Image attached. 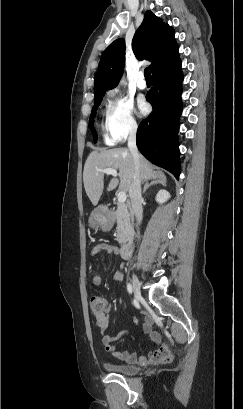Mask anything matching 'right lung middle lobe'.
I'll use <instances>...</instances> for the list:
<instances>
[{"label":"right lung middle lobe","mask_w":243,"mask_h":409,"mask_svg":"<svg viewBox=\"0 0 243 409\" xmlns=\"http://www.w3.org/2000/svg\"><path fill=\"white\" fill-rule=\"evenodd\" d=\"M101 101H102V98L96 99V100L94 101V106H93V109H92V112H91V116H90V119H89V127H90V129H91V131H92V133H93L94 142H95V143H96V141H97V133H96L94 127H93V124H94V117H95V115H96V110L98 109V107H99Z\"/></svg>","instance_id":"obj_1"}]
</instances>
